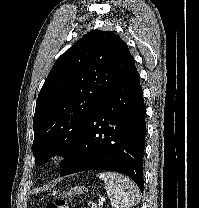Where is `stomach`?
I'll return each instance as SVG.
<instances>
[{"mask_svg":"<svg viewBox=\"0 0 199 208\" xmlns=\"http://www.w3.org/2000/svg\"><path fill=\"white\" fill-rule=\"evenodd\" d=\"M85 189L84 186H75L73 188H71L68 191H63L62 193H60L61 196H65V197H72L75 196L77 194H81L83 192V190Z\"/></svg>","mask_w":199,"mask_h":208,"instance_id":"obj_1","label":"stomach"}]
</instances>
